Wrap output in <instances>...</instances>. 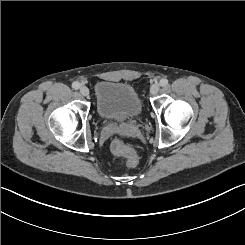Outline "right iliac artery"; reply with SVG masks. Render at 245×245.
<instances>
[{
    "label": "right iliac artery",
    "mask_w": 245,
    "mask_h": 245,
    "mask_svg": "<svg viewBox=\"0 0 245 245\" xmlns=\"http://www.w3.org/2000/svg\"><path fill=\"white\" fill-rule=\"evenodd\" d=\"M72 87L77 90L80 88V83L79 82H73Z\"/></svg>",
    "instance_id": "82829eb1"
}]
</instances>
